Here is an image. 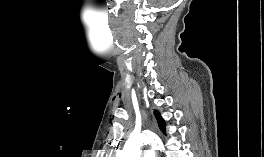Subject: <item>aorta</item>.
<instances>
[{"mask_svg":"<svg viewBox=\"0 0 264 157\" xmlns=\"http://www.w3.org/2000/svg\"><path fill=\"white\" fill-rule=\"evenodd\" d=\"M151 144L153 148L164 150L162 141L150 133H139L130 136L124 148L117 152L116 157H139L144 145Z\"/></svg>","mask_w":264,"mask_h":157,"instance_id":"762f6f07","label":"aorta"}]
</instances>
